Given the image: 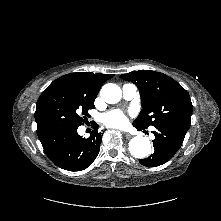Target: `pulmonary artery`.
<instances>
[{
	"label": "pulmonary artery",
	"mask_w": 221,
	"mask_h": 221,
	"mask_svg": "<svg viewBox=\"0 0 221 221\" xmlns=\"http://www.w3.org/2000/svg\"><path fill=\"white\" fill-rule=\"evenodd\" d=\"M137 94V87L135 84L126 83L122 86V95L125 100L133 99Z\"/></svg>",
	"instance_id": "e3ab8cb5"
}]
</instances>
